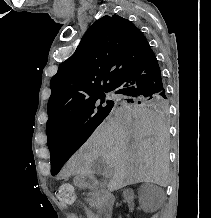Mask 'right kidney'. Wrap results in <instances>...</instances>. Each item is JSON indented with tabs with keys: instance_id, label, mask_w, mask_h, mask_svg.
<instances>
[{
	"instance_id": "obj_1",
	"label": "right kidney",
	"mask_w": 211,
	"mask_h": 218,
	"mask_svg": "<svg viewBox=\"0 0 211 218\" xmlns=\"http://www.w3.org/2000/svg\"><path fill=\"white\" fill-rule=\"evenodd\" d=\"M134 192L129 188V190H124L123 192V198H132V202H137V197H133Z\"/></svg>"
}]
</instances>
